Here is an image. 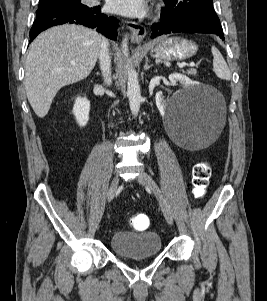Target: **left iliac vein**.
<instances>
[{"mask_svg": "<svg viewBox=\"0 0 267 301\" xmlns=\"http://www.w3.org/2000/svg\"><path fill=\"white\" fill-rule=\"evenodd\" d=\"M137 182L142 184L143 186L147 187L158 199L162 212L164 214L165 219L170 225H173V216L170 205L167 199L162 194L161 190L159 189L158 185L154 182V180L146 173H141L137 178Z\"/></svg>", "mask_w": 267, "mask_h": 301, "instance_id": "4c4485c4", "label": "left iliac vein"}]
</instances>
